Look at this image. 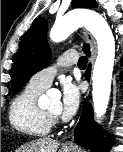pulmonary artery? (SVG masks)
Returning a JSON list of instances; mask_svg holds the SVG:
<instances>
[{"instance_id":"pulmonary-artery-1","label":"pulmonary artery","mask_w":123,"mask_h":152,"mask_svg":"<svg viewBox=\"0 0 123 152\" xmlns=\"http://www.w3.org/2000/svg\"><path fill=\"white\" fill-rule=\"evenodd\" d=\"M78 62V54L74 51H66L61 54L57 60V64L54 66L47 67L32 76L29 85L46 89L48 88L57 72V67L59 66H70Z\"/></svg>"}]
</instances>
